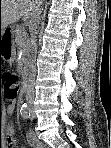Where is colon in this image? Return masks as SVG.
<instances>
[{
	"label": "colon",
	"mask_w": 111,
	"mask_h": 148,
	"mask_svg": "<svg viewBox=\"0 0 111 148\" xmlns=\"http://www.w3.org/2000/svg\"><path fill=\"white\" fill-rule=\"evenodd\" d=\"M0 83L4 87V94L8 100L14 101L19 93V80L17 75L9 70L0 72Z\"/></svg>",
	"instance_id": "colon-1"
}]
</instances>
